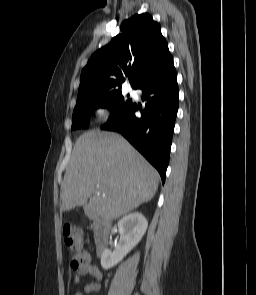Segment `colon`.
<instances>
[{"mask_svg": "<svg viewBox=\"0 0 256 295\" xmlns=\"http://www.w3.org/2000/svg\"><path fill=\"white\" fill-rule=\"evenodd\" d=\"M63 240L71 255L69 266L76 270L89 263L91 258L87 251L82 247L81 235L79 230L73 225H65L63 228Z\"/></svg>", "mask_w": 256, "mask_h": 295, "instance_id": "1", "label": "colon"}]
</instances>
